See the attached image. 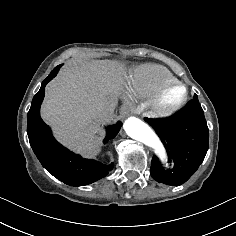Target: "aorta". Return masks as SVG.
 <instances>
[{"mask_svg":"<svg viewBox=\"0 0 236 236\" xmlns=\"http://www.w3.org/2000/svg\"><path fill=\"white\" fill-rule=\"evenodd\" d=\"M124 130L132 139L151 147L164 169L168 167L166 149L156 133L146 123L138 118L130 117L124 122Z\"/></svg>","mask_w":236,"mask_h":236,"instance_id":"762f6f07","label":"aorta"}]
</instances>
